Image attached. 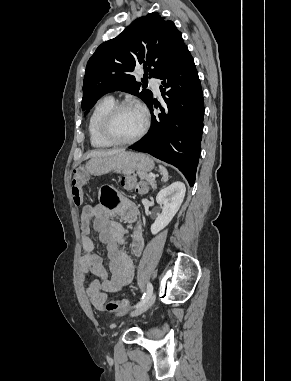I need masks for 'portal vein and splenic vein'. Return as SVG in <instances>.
Segmentation results:
<instances>
[{"label": "portal vein and splenic vein", "instance_id": "obj_1", "mask_svg": "<svg viewBox=\"0 0 291 381\" xmlns=\"http://www.w3.org/2000/svg\"><path fill=\"white\" fill-rule=\"evenodd\" d=\"M148 176L151 177V178H154V177H155V175H154L153 173H149Z\"/></svg>", "mask_w": 291, "mask_h": 381}]
</instances>
